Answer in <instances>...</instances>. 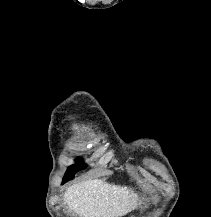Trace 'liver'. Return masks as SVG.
Wrapping results in <instances>:
<instances>
[{
  "mask_svg": "<svg viewBox=\"0 0 211 217\" xmlns=\"http://www.w3.org/2000/svg\"><path fill=\"white\" fill-rule=\"evenodd\" d=\"M64 202L79 217H122L141 204L138 195L127 187L99 179L70 186Z\"/></svg>",
  "mask_w": 211,
  "mask_h": 217,
  "instance_id": "6515ba94",
  "label": "liver"
}]
</instances>
